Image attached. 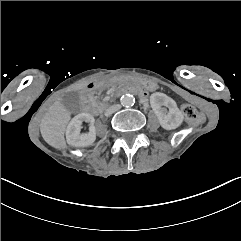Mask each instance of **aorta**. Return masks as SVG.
<instances>
[{"instance_id": "aorta-1", "label": "aorta", "mask_w": 241, "mask_h": 241, "mask_svg": "<svg viewBox=\"0 0 241 241\" xmlns=\"http://www.w3.org/2000/svg\"><path fill=\"white\" fill-rule=\"evenodd\" d=\"M120 101H121V104H122L123 106L129 107V106L134 105V103H135V98H134V96L131 95V94H125V95H123V96L121 97Z\"/></svg>"}]
</instances>
